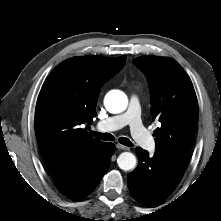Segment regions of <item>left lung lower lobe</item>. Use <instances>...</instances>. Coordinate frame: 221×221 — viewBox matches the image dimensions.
Segmentation results:
<instances>
[{
  "instance_id": "left-lung-lower-lobe-1",
  "label": "left lung lower lobe",
  "mask_w": 221,
  "mask_h": 221,
  "mask_svg": "<svg viewBox=\"0 0 221 221\" xmlns=\"http://www.w3.org/2000/svg\"><path fill=\"white\" fill-rule=\"evenodd\" d=\"M138 167L128 174L131 195L141 204L156 206L164 201L178 185L185 163L155 152L153 156L136 148Z\"/></svg>"
}]
</instances>
